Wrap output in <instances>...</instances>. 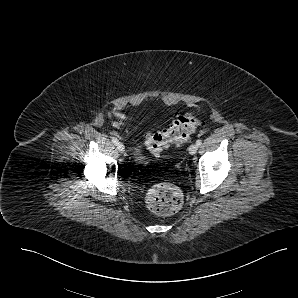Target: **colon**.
Listing matches in <instances>:
<instances>
[{"instance_id":"5ec220e1","label":"colon","mask_w":298,"mask_h":298,"mask_svg":"<svg viewBox=\"0 0 298 298\" xmlns=\"http://www.w3.org/2000/svg\"><path fill=\"white\" fill-rule=\"evenodd\" d=\"M199 125L198 119L191 114L177 116L166 128L148 133L146 146L154 154H159L171 145L185 142ZM149 209L159 215L177 212L183 203V194L174 184L161 182L153 185L147 193Z\"/></svg>"}]
</instances>
